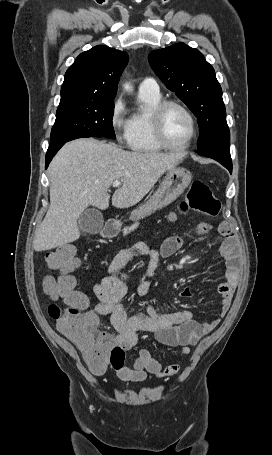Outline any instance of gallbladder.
I'll return each instance as SVG.
<instances>
[{
  "mask_svg": "<svg viewBox=\"0 0 272 455\" xmlns=\"http://www.w3.org/2000/svg\"><path fill=\"white\" fill-rule=\"evenodd\" d=\"M103 223L102 214L94 209H87L78 218V227L84 233H98L101 230Z\"/></svg>",
  "mask_w": 272,
  "mask_h": 455,
  "instance_id": "bac80fb5",
  "label": "gallbladder"
}]
</instances>
